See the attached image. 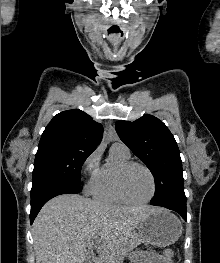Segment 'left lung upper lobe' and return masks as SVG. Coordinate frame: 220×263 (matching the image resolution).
I'll return each instance as SVG.
<instances>
[{
    "label": "left lung upper lobe",
    "mask_w": 220,
    "mask_h": 263,
    "mask_svg": "<svg viewBox=\"0 0 220 263\" xmlns=\"http://www.w3.org/2000/svg\"><path fill=\"white\" fill-rule=\"evenodd\" d=\"M115 128L154 176L155 195L150 203L186 208L180 152L166 125L146 114L134 122L117 121Z\"/></svg>",
    "instance_id": "5c2ea615"
}]
</instances>
